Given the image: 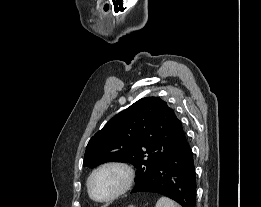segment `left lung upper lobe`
<instances>
[{"label": "left lung upper lobe", "instance_id": "5c2ea615", "mask_svg": "<svg viewBox=\"0 0 261 207\" xmlns=\"http://www.w3.org/2000/svg\"><path fill=\"white\" fill-rule=\"evenodd\" d=\"M184 134L181 121L165 101L145 97L114 116L90 139L83 166L131 163L137 168L136 185L177 149Z\"/></svg>", "mask_w": 261, "mask_h": 207}]
</instances>
